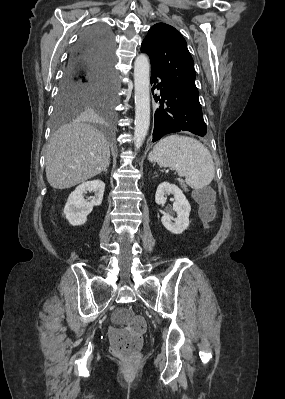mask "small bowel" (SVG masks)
Segmentation results:
<instances>
[{
	"label": "small bowel",
	"mask_w": 285,
	"mask_h": 399,
	"mask_svg": "<svg viewBox=\"0 0 285 399\" xmlns=\"http://www.w3.org/2000/svg\"><path fill=\"white\" fill-rule=\"evenodd\" d=\"M208 192L212 194V190L210 188H207Z\"/></svg>",
	"instance_id": "c3829d8e"
}]
</instances>
